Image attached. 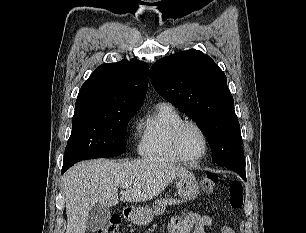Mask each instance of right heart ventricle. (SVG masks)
I'll list each match as a JSON object with an SVG mask.
<instances>
[{"label": "right heart ventricle", "mask_w": 306, "mask_h": 233, "mask_svg": "<svg viewBox=\"0 0 306 233\" xmlns=\"http://www.w3.org/2000/svg\"><path fill=\"white\" fill-rule=\"evenodd\" d=\"M184 119L168 103H160L141 122L140 154L148 159L179 162L173 148V134Z\"/></svg>", "instance_id": "right-heart-ventricle-1"}]
</instances>
